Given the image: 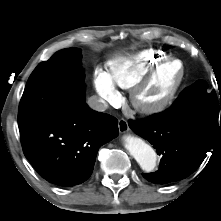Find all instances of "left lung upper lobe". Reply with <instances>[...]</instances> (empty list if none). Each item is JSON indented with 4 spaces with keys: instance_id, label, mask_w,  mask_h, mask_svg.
Masks as SVG:
<instances>
[{
    "instance_id": "5c2ea615",
    "label": "left lung upper lobe",
    "mask_w": 221,
    "mask_h": 221,
    "mask_svg": "<svg viewBox=\"0 0 221 221\" xmlns=\"http://www.w3.org/2000/svg\"><path fill=\"white\" fill-rule=\"evenodd\" d=\"M207 83L204 80L195 82L192 86L185 89L173 103V105L164 111L165 116H217L219 115L220 100L216 93L207 90Z\"/></svg>"
}]
</instances>
